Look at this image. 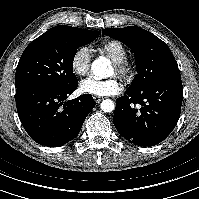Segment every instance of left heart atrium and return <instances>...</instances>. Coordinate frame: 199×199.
Wrapping results in <instances>:
<instances>
[{
  "instance_id": "obj_1",
  "label": "left heart atrium",
  "mask_w": 199,
  "mask_h": 199,
  "mask_svg": "<svg viewBox=\"0 0 199 199\" xmlns=\"http://www.w3.org/2000/svg\"><path fill=\"white\" fill-rule=\"evenodd\" d=\"M122 83L117 77L104 80L87 78L80 83V90L83 93L93 96H108L119 93L122 90Z\"/></svg>"
}]
</instances>
